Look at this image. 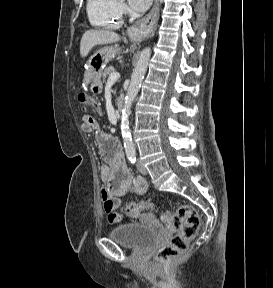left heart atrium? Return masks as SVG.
Masks as SVG:
<instances>
[{
	"label": "left heart atrium",
	"instance_id": "1",
	"mask_svg": "<svg viewBox=\"0 0 273 288\" xmlns=\"http://www.w3.org/2000/svg\"><path fill=\"white\" fill-rule=\"evenodd\" d=\"M128 2L134 11L143 12L150 6L152 0H128Z\"/></svg>",
	"mask_w": 273,
	"mask_h": 288
}]
</instances>
